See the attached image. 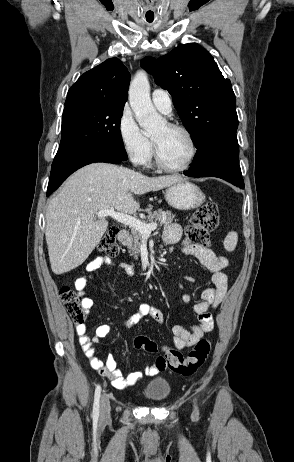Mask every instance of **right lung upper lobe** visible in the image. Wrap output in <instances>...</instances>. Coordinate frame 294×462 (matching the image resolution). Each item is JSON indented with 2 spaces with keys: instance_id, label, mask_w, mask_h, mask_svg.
I'll return each instance as SVG.
<instances>
[{
  "instance_id": "obj_1",
  "label": "right lung upper lobe",
  "mask_w": 294,
  "mask_h": 462,
  "mask_svg": "<svg viewBox=\"0 0 294 462\" xmlns=\"http://www.w3.org/2000/svg\"><path fill=\"white\" fill-rule=\"evenodd\" d=\"M130 74L124 64L113 57L82 74L68 91L65 105L76 102L125 104Z\"/></svg>"
}]
</instances>
